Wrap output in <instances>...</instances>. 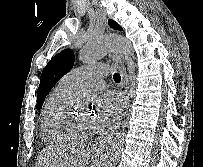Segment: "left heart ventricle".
<instances>
[{"label": "left heart ventricle", "mask_w": 203, "mask_h": 167, "mask_svg": "<svg viewBox=\"0 0 203 167\" xmlns=\"http://www.w3.org/2000/svg\"><path fill=\"white\" fill-rule=\"evenodd\" d=\"M77 116L80 118V120L83 122V124L87 127L94 128V122H93V115L91 112H81L77 113Z\"/></svg>", "instance_id": "b2bd125f"}]
</instances>
